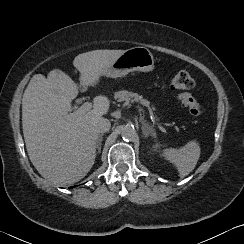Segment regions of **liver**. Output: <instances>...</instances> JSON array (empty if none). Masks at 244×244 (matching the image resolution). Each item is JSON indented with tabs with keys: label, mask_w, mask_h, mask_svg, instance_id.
I'll use <instances>...</instances> for the list:
<instances>
[{
	"label": "liver",
	"mask_w": 244,
	"mask_h": 244,
	"mask_svg": "<svg viewBox=\"0 0 244 244\" xmlns=\"http://www.w3.org/2000/svg\"><path fill=\"white\" fill-rule=\"evenodd\" d=\"M123 51L94 50L76 56L73 65L80 72L81 84L94 87ZM77 95V84L60 69L51 70L47 78L34 75L23 95L27 153L41 176L57 184L78 182L91 170L99 136L94 123L109 109V100L98 96L93 110L70 113Z\"/></svg>",
	"instance_id": "liver-1"
}]
</instances>
